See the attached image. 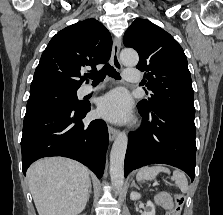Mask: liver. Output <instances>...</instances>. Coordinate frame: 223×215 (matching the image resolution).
<instances>
[{
  "mask_svg": "<svg viewBox=\"0 0 223 215\" xmlns=\"http://www.w3.org/2000/svg\"><path fill=\"white\" fill-rule=\"evenodd\" d=\"M29 189L39 215H77L84 209L89 169L67 157H44L27 169Z\"/></svg>",
  "mask_w": 223,
  "mask_h": 215,
  "instance_id": "6515ba94",
  "label": "liver"
}]
</instances>
